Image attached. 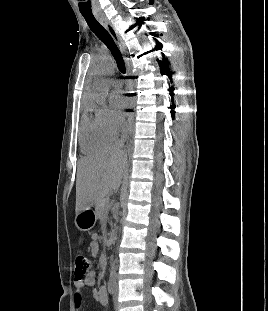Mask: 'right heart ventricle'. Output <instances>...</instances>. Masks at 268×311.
<instances>
[{"mask_svg":"<svg viewBox=\"0 0 268 311\" xmlns=\"http://www.w3.org/2000/svg\"><path fill=\"white\" fill-rule=\"evenodd\" d=\"M116 139L97 112L86 113L80 123L79 142L85 153H95L110 146Z\"/></svg>","mask_w":268,"mask_h":311,"instance_id":"1","label":"right heart ventricle"}]
</instances>
